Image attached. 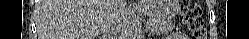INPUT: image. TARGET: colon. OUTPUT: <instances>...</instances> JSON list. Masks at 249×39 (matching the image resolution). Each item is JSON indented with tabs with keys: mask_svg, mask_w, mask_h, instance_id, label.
<instances>
[{
	"mask_svg": "<svg viewBox=\"0 0 249 39\" xmlns=\"http://www.w3.org/2000/svg\"><path fill=\"white\" fill-rule=\"evenodd\" d=\"M182 14L188 30L192 33L193 39H201L204 36V29L199 21V7L196 1H185Z\"/></svg>",
	"mask_w": 249,
	"mask_h": 39,
	"instance_id": "1",
	"label": "colon"
}]
</instances>
